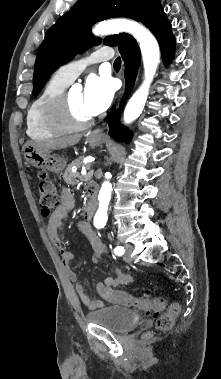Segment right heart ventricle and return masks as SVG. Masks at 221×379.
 <instances>
[{"label": "right heart ventricle", "instance_id": "right-heart-ventricle-1", "mask_svg": "<svg viewBox=\"0 0 221 379\" xmlns=\"http://www.w3.org/2000/svg\"><path fill=\"white\" fill-rule=\"evenodd\" d=\"M70 83L58 77L52 76L45 84L40 94L31 103L26 116L27 135L34 140L49 139L62 131L50 127L46 120L49 105L55 100Z\"/></svg>", "mask_w": 221, "mask_h": 379}]
</instances>
